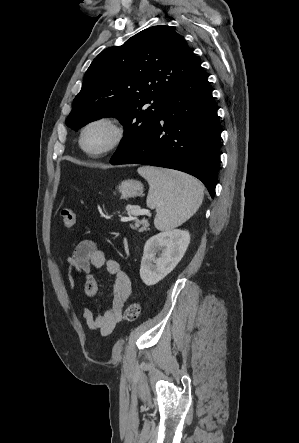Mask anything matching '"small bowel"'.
Wrapping results in <instances>:
<instances>
[{
	"label": "small bowel",
	"instance_id": "obj_1",
	"mask_svg": "<svg viewBox=\"0 0 299 443\" xmlns=\"http://www.w3.org/2000/svg\"><path fill=\"white\" fill-rule=\"evenodd\" d=\"M72 254L67 258V280L72 289L76 277L84 276L83 291L86 297L92 298L97 294L98 285L92 270L105 268L114 278L112 301L109 309L94 312L88 306L84 307L83 316L91 330H99L103 337L110 336L117 323L121 320L124 304L132 294V283L129 276L121 269L117 260L108 258L90 239L75 240L70 244Z\"/></svg>",
	"mask_w": 299,
	"mask_h": 443
}]
</instances>
